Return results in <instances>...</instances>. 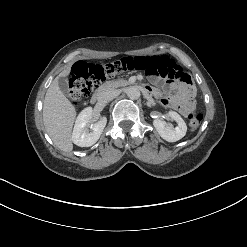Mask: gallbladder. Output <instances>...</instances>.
Instances as JSON below:
<instances>
[{
    "instance_id": "bac80fb5",
    "label": "gallbladder",
    "mask_w": 247,
    "mask_h": 247,
    "mask_svg": "<svg viewBox=\"0 0 247 247\" xmlns=\"http://www.w3.org/2000/svg\"><path fill=\"white\" fill-rule=\"evenodd\" d=\"M58 86L64 95L69 96V86L67 78L60 77L58 79Z\"/></svg>"
}]
</instances>
